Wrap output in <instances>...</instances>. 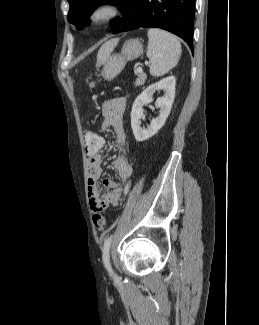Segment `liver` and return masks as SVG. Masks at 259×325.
I'll list each match as a JSON object with an SVG mask.
<instances>
[{
    "instance_id": "1",
    "label": "liver",
    "mask_w": 259,
    "mask_h": 325,
    "mask_svg": "<svg viewBox=\"0 0 259 325\" xmlns=\"http://www.w3.org/2000/svg\"><path fill=\"white\" fill-rule=\"evenodd\" d=\"M118 41V39H111L100 47L97 54L96 67H99L106 62V60L109 58L110 54L118 44Z\"/></svg>"
}]
</instances>
